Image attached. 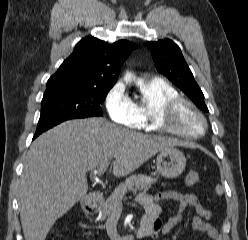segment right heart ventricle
Listing matches in <instances>:
<instances>
[{
    "label": "right heart ventricle",
    "instance_id": "1",
    "mask_svg": "<svg viewBox=\"0 0 248 240\" xmlns=\"http://www.w3.org/2000/svg\"><path fill=\"white\" fill-rule=\"evenodd\" d=\"M139 90L140 100L133 103L138 122L136 128L149 132L161 131L156 124L158 110L165 101L178 96V90L158 77L141 81Z\"/></svg>",
    "mask_w": 248,
    "mask_h": 240
}]
</instances>
